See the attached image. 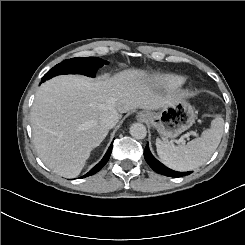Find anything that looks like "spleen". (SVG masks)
Wrapping results in <instances>:
<instances>
[{
    "mask_svg": "<svg viewBox=\"0 0 245 245\" xmlns=\"http://www.w3.org/2000/svg\"><path fill=\"white\" fill-rule=\"evenodd\" d=\"M224 130V120L217 116L208 130L200 138H195L186 145L174 146L156 139L157 153L160 160L176 171H189L205 164L220 144Z\"/></svg>",
    "mask_w": 245,
    "mask_h": 245,
    "instance_id": "spleen-1",
    "label": "spleen"
}]
</instances>
